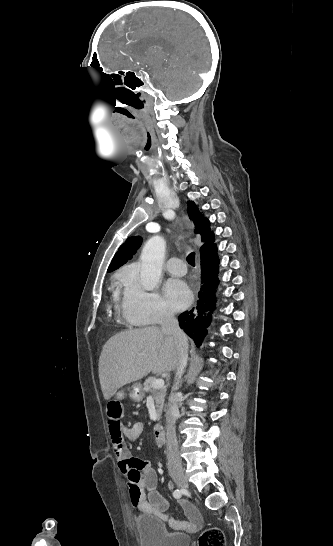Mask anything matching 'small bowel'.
Returning <instances> with one entry per match:
<instances>
[{
    "mask_svg": "<svg viewBox=\"0 0 333 546\" xmlns=\"http://www.w3.org/2000/svg\"><path fill=\"white\" fill-rule=\"evenodd\" d=\"M118 390L120 392H117L115 396L123 399L124 393L121 392L123 389L120 387ZM108 430L118 468L125 475L129 486L132 506L143 514L152 515L161 522L167 523L171 529L191 532L199 529L203 523L199 512L193 506L184 503L188 521L177 520L167 511V501L156 489L157 474L154 469L145 460L131 457L125 440L135 442L142 431V424L136 422L126 427L120 418L119 422H108Z\"/></svg>",
    "mask_w": 333,
    "mask_h": 546,
    "instance_id": "c3829d8e",
    "label": "small bowel"
}]
</instances>
